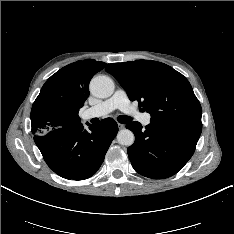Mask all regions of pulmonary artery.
Returning a JSON list of instances; mask_svg holds the SVG:
<instances>
[{
	"label": "pulmonary artery",
	"mask_w": 234,
	"mask_h": 234,
	"mask_svg": "<svg viewBox=\"0 0 234 234\" xmlns=\"http://www.w3.org/2000/svg\"><path fill=\"white\" fill-rule=\"evenodd\" d=\"M116 109L126 114L136 116L143 125H148L150 123L151 115L149 113H139L138 110L131 105L127 93L123 89H117L107 100L88 108L84 112V117L86 119L102 117Z\"/></svg>",
	"instance_id": "pulmonary-artery-1"
}]
</instances>
